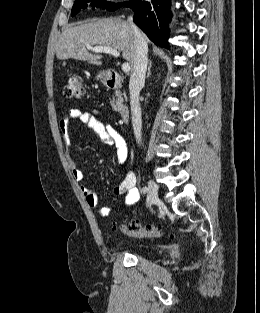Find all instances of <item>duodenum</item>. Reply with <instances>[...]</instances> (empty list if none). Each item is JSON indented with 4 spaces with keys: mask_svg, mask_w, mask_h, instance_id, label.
<instances>
[{
    "mask_svg": "<svg viewBox=\"0 0 260 313\" xmlns=\"http://www.w3.org/2000/svg\"><path fill=\"white\" fill-rule=\"evenodd\" d=\"M106 86L111 89L119 90L122 86L120 75L114 70H108L106 73ZM119 115L123 123H128L130 120V111L126 107L119 110Z\"/></svg>",
    "mask_w": 260,
    "mask_h": 313,
    "instance_id": "410a0bca",
    "label": "duodenum"
}]
</instances>
